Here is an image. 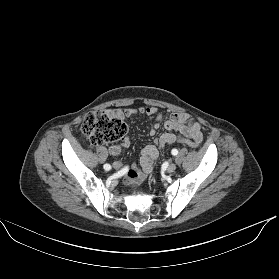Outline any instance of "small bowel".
<instances>
[{"label":"small bowel","instance_id":"1","mask_svg":"<svg viewBox=\"0 0 279 279\" xmlns=\"http://www.w3.org/2000/svg\"><path fill=\"white\" fill-rule=\"evenodd\" d=\"M117 115L122 118H130L133 115H147L153 117V125L150 129V134L154 135L161 126V120L163 118L155 107H140L132 108L127 107L124 109H118ZM164 129L166 130L156 141V145H147L142 150V156L140 159V168L133 166L128 169L124 183L128 186H135L141 184L148 174L152 171L153 164L159 156V149L164 148L167 144H172L178 141L180 138H187L200 144L203 139L201 131V125L190 119L185 113H171L169 118L164 122ZM130 144L129 137L123 138L119 143L109 147V153L113 156L120 154L122 149L128 147Z\"/></svg>","mask_w":279,"mask_h":279}]
</instances>
